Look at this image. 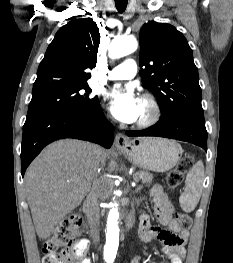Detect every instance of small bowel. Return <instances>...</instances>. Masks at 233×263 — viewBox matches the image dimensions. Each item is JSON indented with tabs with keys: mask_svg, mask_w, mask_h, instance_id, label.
Returning <instances> with one entry per match:
<instances>
[{
	"mask_svg": "<svg viewBox=\"0 0 233 263\" xmlns=\"http://www.w3.org/2000/svg\"><path fill=\"white\" fill-rule=\"evenodd\" d=\"M151 193L154 199L155 216L164 228L152 226L148 216L142 215L139 225L140 238L144 243L160 242L170 263H183L189 232L183 229L173 217V205L164 195L161 186L154 184ZM81 245L83 249L80 254L83 258L88 251L89 243L86 239H82ZM139 261L140 256H136L132 263H139ZM79 263H92V261L89 257H84Z\"/></svg>",
	"mask_w": 233,
	"mask_h": 263,
	"instance_id": "small-bowel-1",
	"label": "small bowel"
}]
</instances>
